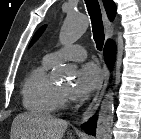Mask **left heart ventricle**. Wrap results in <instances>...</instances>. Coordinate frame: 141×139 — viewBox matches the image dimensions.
<instances>
[{"instance_id":"b2bd125f","label":"left heart ventricle","mask_w":141,"mask_h":139,"mask_svg":"<svg viewBox=\"0 0 141 139\" xmlns=\"http://www.w3.org/2000/svg\"><path fill=\"white\" fill-rule=\"evenodd\" d=\"M60 88L64 91H68L70 88V84H64V85L60 86Z\"/></svg>"}]
</instances>
